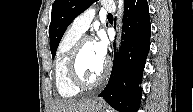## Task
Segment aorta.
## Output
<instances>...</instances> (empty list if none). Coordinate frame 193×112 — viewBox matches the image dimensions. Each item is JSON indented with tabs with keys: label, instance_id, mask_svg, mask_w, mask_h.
I'll return each instance as SVG.
<instances>
[{
	"label": "aorta",
	"instance_id": "aorta-1",
	"mask_svg": "<svg viewBox=\"0 0 193 112\" xmlns=\"http://www.w3.org/2000/svg\"><path fill=\"white\" fill-rule=\"evenodd\" d=\"M118 7H119V10H118V21H120L121 15H122L123 1H121V0L119 1ZM119 25H120V24H119Z\"/></svg>",
	"mask_w": 193,
	"mask_h": 112
}]
</instances>
